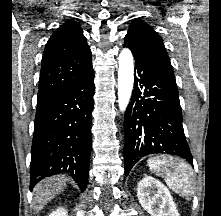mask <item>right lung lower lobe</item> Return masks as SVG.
<instances>
[{
    "mask_svg": "<svg viewBox=\"0 0 221 216\" xmlns=\"http://www.w3.org/2000/svg\"><path fill=\"white\" fill-rule=\"evenodd\" d=\"M94 72L37 104L31 149L30 189L45 177L73 176L86 189L91 154Z\"/></svg>",
    "mask_w": 221,
    "mask_h": 216,
    "instance_id": "98d812e1",
    "label": "right lung lower lobe"
}]
</instances>
